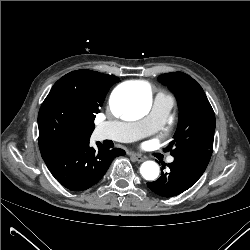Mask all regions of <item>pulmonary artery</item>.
Here are the masks:
<instances>
[{
	"instance_id": "1",
	"label": "pulmonary artery",
	"mask_w": 250,
	"mask_h": 250,
	"mask_svg": "<svg viewBox=\"0 0 250 250\" xmlns=\"http://www.w3.org/2000/svg\"><path fill=\"white\" fill-rule=\"evenodd\" d=\"M173 104V99L170 96L158 93L154 98L150 113L145 118L134 122H103L97 128V138L100 140L110 139L120 142H132L150 135L163 126ZM168 161L171 163L174 161V158L170 156Z\"/></svg>"
}]
</instances>
